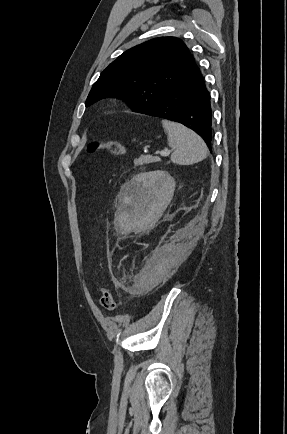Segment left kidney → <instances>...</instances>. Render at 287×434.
<instances>
[{"instance_id": "obj_1", "label": "left kidney", "mask_w": 287, "mask_h": 434, "mask_svg": "<svg viewBox=\"0 0 287 434\" xmlns=\"http://www.w3.org/2000/svg\"><path fill=\"white\" fill-rule=\"evenodd\" d=\"M175 180L166 171L157 170L140 173L133 177L124 188L123 203L130 217L142 220L157 219L155 211H163L170 203Z\"/></svg>"}]
</instances>
